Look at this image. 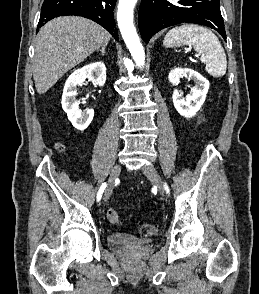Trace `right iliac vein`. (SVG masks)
I'll list each match as a JSON object with an SVG mask.
<instances>
[{
  "mask_svg": "<svg viewBox=\"0 0 259 294\" xmlns=\"http://www.w3.org/2000/svg\"><path fill=\"white\" fill-rule=\"evenodd\" d=\"M120 172H121V166L115 165L111 171V174H110V177L108 180V185H107V188L104 193L103 199L105 202H107L108 199L110 198L112 191H113V188H114V182H115L116 178L119 176Z\"/></svg>",
  "mask_w": 259,
  "mask_h": 294,
  "instance_id": "right-iliac-vein-1",
  "label": "right iliac vein"
}]
</instances>
